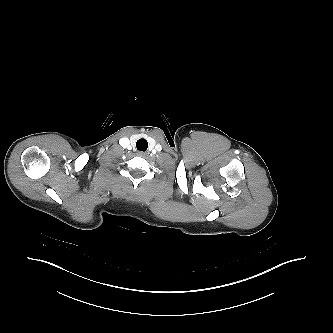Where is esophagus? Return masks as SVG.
I'll return each instance as SVG.
<instances>
[{
  "instance_id": "34e87169",
  "label": "esophagus",
  "mask_w": 333,
  "mask_h": 333,
  "mask_svg": "<svg viewBox=\"0 0 333 333\" xmlns=\"http://www.w3.org/2000/svg\"><path fill=\"white\" fill-rule=\"evenodd\" d=\"M137 155H138V156H141V157H144V156L146 155V153H145V152H142V151H139V152H137Z\"/></svg>"
}]
</instances>
